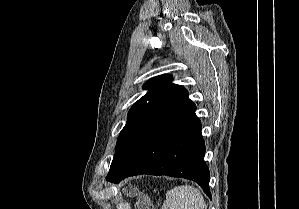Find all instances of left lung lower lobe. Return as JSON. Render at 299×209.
<instances>
[{
    "instance_id": "left-lung-lower-lobe-1",
    "label": "left lung lower lobe",
    "mask_w": 299,
    "mask_h": 209,
    "mask_svg": "<svg viewBox=\"0 0 299 209\" xmlns=\"http://www.w3.org/2000/svg\"><path fill=\"white\" fill-rule=\"evenodd\" d=\"M196 106L183 89L150 115L124 142L106 180L133 175H167L197 182L211 198L210 172Z\"/></svg>"
}]
</instances>
